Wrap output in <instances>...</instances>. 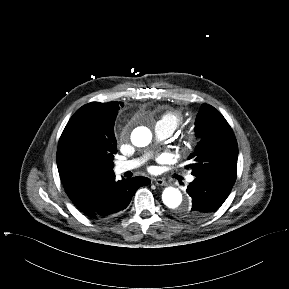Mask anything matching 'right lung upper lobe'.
Masks as SVG:
<instances>
[{
    "label": "right lung upper lobe",
    "instance_id": "cb5924a9",
    "mask_svg": "<svg viewBox=\"0 0 289 289\" xmlns=\"http://www.w3.org/2000/svg\"><path fill=\"white\" fill-rule=\"evenodd\" d=\"M56 161L64 189L77 207L86 205L90 193L99 183L115 179L114 163L103 166L77 163L65 154L59 144Z\"/></svg>",
    "mask_w": 289,
    "mask_h": 289
}]
</instances>
